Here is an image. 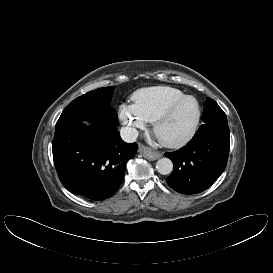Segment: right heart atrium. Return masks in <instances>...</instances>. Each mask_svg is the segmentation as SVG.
I'll use <instances>...</instances> for the list:
<instances>
[{
    "mask_svg": "<svg viewBox=\"0 0 273 273\" xmlns=\"http://www.w3.org/2000/svg\"><path fill=\"white\" fill-rule=\"evenodd\" d=\"M118 115L125 126L126 135L130 138H135L139 130L145 129L148 123L131 104H121L118 109Z\"/></svg>",
    "mask_w": 273,
    "mask_h": 273,
    "instance_id": "d8ad5b80",
    "label": "right heart atrium"
}]
</instances>
